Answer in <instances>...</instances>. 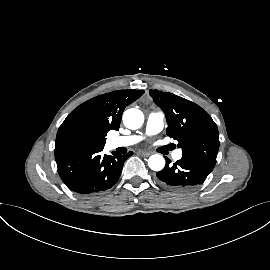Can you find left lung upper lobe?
Listing matches in <instances>:
<instances>
[{
    "mask_svg": "<svg viewBox=\"0 0 270 270\" xmlns=\"http://www.w3.org/2000/svg\"><path fill=\"white\" fill-rule=\"evenodd\" d=\"M154 102L164 111L167 135L178 141L182 156L215 166L219 133L211 116L197 104L172 93L150 90Z\"/></svg>",
    "mask_w": 270,
    "mask_h": 270,
    "instance_id": "5c2ea615",
    "label": "left lung upper lobe"
}]
</instances>
